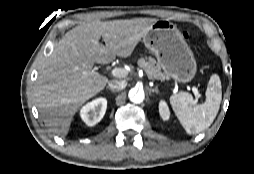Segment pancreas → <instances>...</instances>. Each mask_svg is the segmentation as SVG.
Returning a JSON list of instances; mask_svg holds the SVG:
<instances>
[{"mask_svg": "<svg viewBox=\"0 0 254 174\" xmlns=\"http://www.w3.org/2000/svg\"><path fill=\"white\" fill-rule=\"evenodd\" d=\"M138 66L142 68L150 79L166 80L169 76L161 71L159 65H156L154 58H141L138 60Z\"/></svg>", "mask_w": 254, "mask_h": 174, "instance_id": "cf45deb5", "label": "pancreas"}]
</instances>
